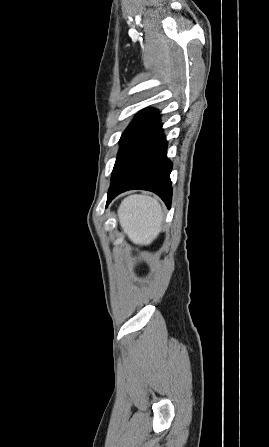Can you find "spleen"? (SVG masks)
Listing matches in <instances>:
<instances>
[{
	"instance_id": "spleen-1",
	"label": "spleen",
	"mask_w": 269,
	"mask_h": 447,
	"mask_svg": "<svg viewBox=\"0 0 269 447\" xmlns=\"http://www.w3.org/2000/svg\"><path fill=\"white\" fill-rule=\"evenodd\" d=\"M118 218L133 243H151L161 231L162 206L151 196L133 194L121 202Z\"/></svg>"
}]
</instances>
